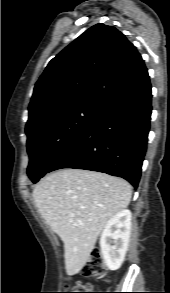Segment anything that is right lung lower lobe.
I'll list each match as a JSON object with an SVG mask.
<instances>
[{"mask_svg": "<svg viewBox=\"0 0 170 293\" xmlns=\"http://www.w3.org/2000/svg\"><path fill=\"white\" fill-rule=\"evenodd\" d=\"M151 84L145 76L107 99L86 131L50 166L48 172L75 168L107 173L135 188L147 149Z\"/></svg>", "mask_w": 170, "mask_h": 293, "instance_id": "1", "label": "right lung lower lobe"}]
</instances>
